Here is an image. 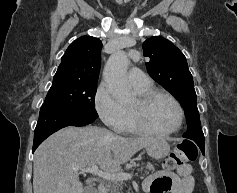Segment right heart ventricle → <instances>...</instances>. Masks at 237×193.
Masks as SVG:
<instances>
[{
  "label": "right heart ventricle",
  "mask_w": 237,
  "mask_h": 193,
  "mask_svg": "<svg viewBox=\"0 0 237 193\" xmlns=\"http://www.w3.org/2000/svg\"><path fill=\"white\" fill-rule=\"evenodd\" d=\"M135 90L139 95H143L151 91V87L146 88V89H135ZM125 111H126V124L122 132L131 133V134L138 133L132 126L129 110H125Z\"/></svg>",
  "instance_id": "1"
}]
</instances>
